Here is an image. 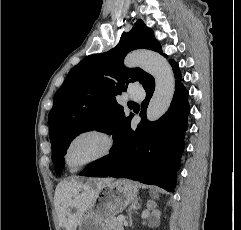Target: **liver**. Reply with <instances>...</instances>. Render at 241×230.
Listing matches in <instances>:
<instances>
[{
  "label": "liver",
  "mask_w": 241,
  "mask_h": 230,
  "mask_svg": "<svg viewBox=\"0 0 241 230\" xmlns=\"http://www.w3.org/2000/svg\"><path fill=\"white\" fill-rule=\"evenodd\" d=\"M113 179L96 180L90 184L60 182L55 191V205L59 220L65 230H76L86 210L96 199L100 186ZM75 208L76 212L71 209Z\"/></svg>",
  "instance_id": "6515ba94"
}]
</instances>
